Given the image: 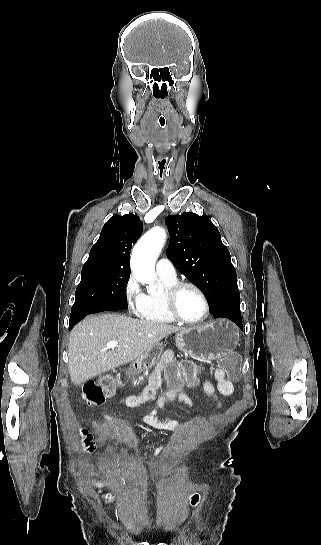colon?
Returning a JSON list of instances; mask_svg holds the SVG:
<instances>
[{
  "instance_id": "obj_1",
  "label": "colon",
  "mask_w": 321,
  "mask_h": 545,
  "mask_svg": "<svg viewBox=\"0 0 321 545\" xmlns=\"http://www.w3.org/2000/svg\"><path fill=\"white\" fill-rule=\"evenodd\" d=\"M221 367L228 376L232 379H237L239 376V359L236 355L231 354L221 361ZM197 382L195 377H192L191 383ZM115 393V385L110 378H100L91 380L84 384L82 389L83 399L91 406L101 405L106 399L113 396ZM199 501L198 495H193L191 503L196 505Z\"/></svg>"
}]
</instances>
